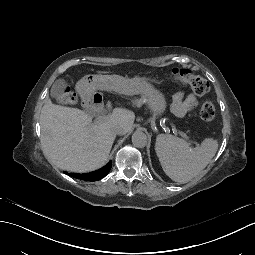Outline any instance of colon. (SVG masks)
Segmentation results:
<instances>
[{"mask_svg": "<svg viewBox=\"0 0 255 255\" xmlns=\"http://www.w3.org/2000/svg\"><path fill=\"white\" fill-rule=\"evenodd\" d=\"M173 76L178 82L189 86L197 95H204L209 91L210 87L207 80L193 74L189 69H175ZM59 102L66 105H73L77 102V97L72 91L66 90L60 95ZM215 114V106L211 101H205L201 105L199 117L202 121H213Z\"/></svg>", "mask_w": 255, "mask_h": 255, "instance_id": "obj_1", "label": "colon"}]
</instances>
